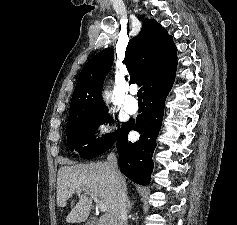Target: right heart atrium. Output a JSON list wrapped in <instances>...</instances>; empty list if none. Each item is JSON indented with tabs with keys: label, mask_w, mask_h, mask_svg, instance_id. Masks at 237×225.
<instances>
[{
	"label": "right heart atrium",
	"mask_w": 237,
	"mask_h": 225,
	"mask_svg": "<svg viewBox=\"0 0 237 225\" xmlns=\"http://www.w3.org/2000/svg\"><path fill=\"white\" fill-rule=\"evenodd\" d=\"M112 132V125L106 120H98L92 129L91 138L95 142L104 140Z\"/></svg>",
	"instance_id": "right-heart-atrium-1"
}]
</instances>
